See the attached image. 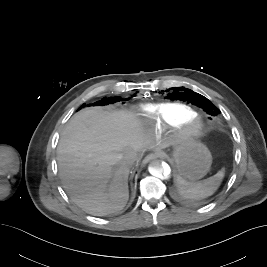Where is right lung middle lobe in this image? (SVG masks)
<instances>
[{
	"label": "right lung middle lobe",
	"mask_w": 267,
	"mask_h": 267,
	"mask_svg": "<svg viewBox=\"0 0 267 267\" xmlns=\"http://www.w3.org/2000/svg\"><path fill=\"white\" fill-rule=\"evenodd\" d=\"M117 101H120V98L119 97H110V98H103L101 101H98L92 105H106V104H110V103H114V102H117Z\"/></svg>",
	"instance_id": "dd1d6c3e"
}]
</instances>
